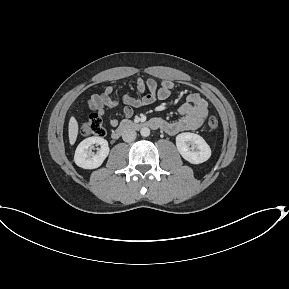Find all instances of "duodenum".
Returning a JSON list of instances; mask_svg holds the SVG:
<instances>
[{
	"label": "duodenum",
	"instance_id": "410a0bca",
	"mask_svg": "<svg viewBox=\"0 0 289 289\" xmlns=\"http://www.w3.org/2000/svg\"><path fill=\"white\" fill-rule=\"evenodd\" d=\"M143 127H149L152 129L160 128V123L156 119L149 120L147 122H134L130 120H125L112 132V138L118 139L123 134L131 130H139Z\"/></svg>",
	"mask_w": 289,
	"mask_h": 289
}]
</instances>
